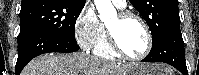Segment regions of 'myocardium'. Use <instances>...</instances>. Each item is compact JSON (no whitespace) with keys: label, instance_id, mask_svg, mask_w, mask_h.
Returning <instances> with one entry per match:
<instances>
[{"label":"myocardium","instance_id":"myocardium-1","mask_svg":"<svg viewBox=\"0 0 199 75\" xmlns=\"http://www.w3.org/2000/svg\"><path fill=\"white\" fill-rule=\"evenodd\" d=\"M118 18L120 21H126L129 19H134L136 21H138L141 26L144 29L145 35H146V48L145 50L136 56H131L129 54H127L124 49L120 46V44L118 43L116 36L114 35V33L107 27V36H108V41L109 44L111 46V48L114 50V52L116 54H118L119 56H121L124 59L127 60H133V61H138V60H142L144 59L151 51L152 49V45H153V38H152V33L151 30L147 24V22L139 15L132 13V12H121L118 14Z\"/></svg>","mask_w":199,"mask_h":75}]
</instances>
